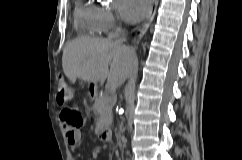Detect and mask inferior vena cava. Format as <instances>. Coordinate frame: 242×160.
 <instances>
[{"label": "inferior vena cava", "mask_w": 242, "mask_h": 160, "mask_svg": "<svg viewBox=\"0 0 242 160\" xmlns=\"http://www.w3.org/2000/svg\"><path fill=\"white\" fill-rule=\"evenodd\" d=\"M126 40L125 32H122V37L118 39L116 42L119 44H123ZM136 52L133 47H130L129 50H123V58L120 59V68L123 73H133V68H131V63L136 60Z\"/></svg>", "instance_id": "1"}]
</instances>
